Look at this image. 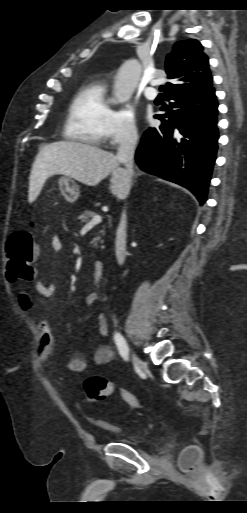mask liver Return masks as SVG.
I'll list each match as a JSON object with an SVG mask.
<instances>
[{
    "mask_svg": "<svg viewBox=\"0 0 247 513\" xmlns=\"http://www.w3.org/2000/svg\"><path fill=\"white\" fill-rule=\"evenodd\" d=\"M54 174L70 176L88 186H96L111 174L109 189L119 198L127 196L132 185V176L120 167L113 153L88 144L60 141L44 146L35 158L29 182L30 202Z\"/></svg>",
    "mask_w": 247,
    "mask_h": 513,
    "instance_id": "obj_1",
    "label": "liver"
}]
</instances>
